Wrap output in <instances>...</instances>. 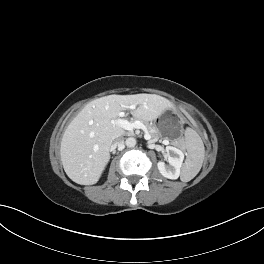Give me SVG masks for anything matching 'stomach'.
I'll return each instance as SVG.
<instances>
[{"label": "stomach", "instance_id": "obj_1", "mask_svg": "<svg viewBox=\"0 0 264 264\" xmlns=\"http://www.w3.org/2000/svg\"><path fill=\"white\" fill-rule=\"evenodd\" d=\"M160 136L178 139L183 130L182 119L173 109H166L164 114L159 117L155 126Z\"/></svg>", "mask_w": 264, "mask_h": 264}]
</instances>
